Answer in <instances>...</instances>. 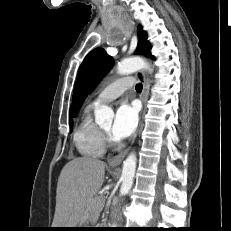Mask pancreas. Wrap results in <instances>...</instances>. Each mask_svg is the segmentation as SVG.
<instances>
[{
  "instance_id": "cf45deb5",
  "label": "pancreas",
  "mask_w": 231,
  "mask_h": 231,
  "mask_svg": "<svg viewBox=\"0 0 231 231\" xmlns=\"http://www.w3.org/2000/svg\"><path fill=\"white\" fill-rule=\"evenodd\" d=\"M102 201H103V197L102 196H95L94 198H93V200H92V205L94 206V207H97V208H99V209H101L102 208Z\"/></svg>"
}]
</instances>
